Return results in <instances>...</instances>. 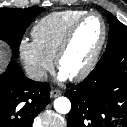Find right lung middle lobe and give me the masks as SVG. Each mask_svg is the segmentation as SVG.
<instances>
[{
	"label": "right lung middle lobe",
	"instance_id": "1",
	"mask_svg": "<svg viewBox=\"0 0 127 127\" xmlns=\"http://www.w3.org/2000/svg\"><path fill=\"white\" fill-rule=\"evenodd\" d=\"M44 10L38 6L25 9L0 8V40L16 50L26 28Z\"/></svg>",
	"mask_w": 127,
	"mask_h": 127
}]
</instances>
